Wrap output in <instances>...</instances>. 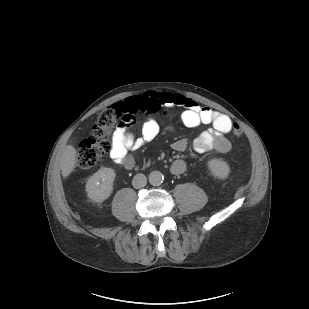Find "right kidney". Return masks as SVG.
Wrapping results in <instances>:
<instances>
[{
    "label": "right kidney",
    "instance_id": "ca27d5eb",
    "mask_svg": "<svg viewBox=\"0 0 309 309\" xmlns=\"http://www.w3.org/2000/svg\"><path fill=\"white\" fill-rule=\"evenodd\" d=\"M115 172L111 168H101L86 183L88 197L95 202L109 198L113 191Z\"/></svg>",
    "mask_w": 309,
    "mask_h": 309
}]
</instances>
